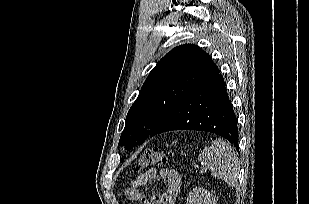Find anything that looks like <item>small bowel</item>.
Returning a JSON list of instances; mask_svg holds the SVG:
<instances>
[{
  "mask_svg": "<svg viewBox=\"0 0 309 204\" xmlns=\"http://www.w3.org/2000/svg\"><path fill=\"white\" fill-rule=\"evenodd\" d=\"M163 181L166 183L164 193L152 196L147 204H176V199L181 190V177L176 170L170 168H150L140 174L125 189V196L129 200L142 198L140 188L145 186L149 181Z\"/></svg>",
  "mask_w": 309,
  "mask_h": 204,
  "instance_id": "small-bowel-1",
  "label": "small bowel"
}]
</instances>
